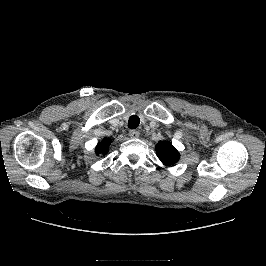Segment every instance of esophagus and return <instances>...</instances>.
Segmentation results:
<instances>
[{"label":"esophagus","instance_id":"obj_1","mask_svg":"<svg viewBox=\"0 0 266 266\" xmlns=\"http://www.w3.org/2000/svg\"><path fill=\"white\" fill-rule=\"evenodd\" d=\"M129 136H130L131 138H138V137H139V132L136 131V130H130V131H129Z\"/></svg>","mask_w":266,"mask_h":266}]
</instances>
